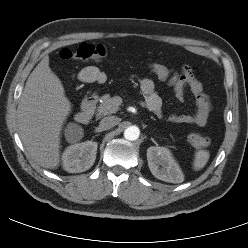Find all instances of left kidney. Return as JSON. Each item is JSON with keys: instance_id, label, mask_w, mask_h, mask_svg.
Masks as SVG:
<instances>
[{"instance_id": "5707ae66", "label": "left kidney", "mask_w": 248, "mask_h": 248, "mask_svg": "<svg viewBox=\"0 0 248 248\" xmlns=\"http://www.w3.org/2000/svg\"><path fill=\"white\" fill-rule=\"evenodd\" d=\"M147 161L151 173L159 180L169 183L183 182L184 175L167 148L149 147Z\"/></svg>"}]
</instances>
